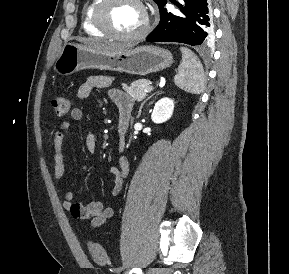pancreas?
I'll return each mask as SVG.
<instances>
[{"label":"pancreas","instance_id":"obj_1","mask_svg":"<svg viewBox=\"0 0 289 274\" xmlns=\"http://www.w3.org/2000/svg\"><path fill=\"white\" fill-rule=\"evenodd\" d=\"M151 86V81L148 79H139L133 81L130 86L123 84V90L133 99L136 101H142L148 92L145 90Z\"/></svg>","mask_w":289,"mask_h":274}]
</instances>
